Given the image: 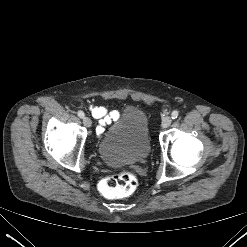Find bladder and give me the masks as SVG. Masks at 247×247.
<instances>
[{
	"instance_id": "1",
	"label": "bladder",
	"mask_w": 247,
	"mask_h": 247,
	"mask_svg": "<svg viewBox=\"0 0 247 247\" xmlns=\"http://www.w3.org/2000/svg\"><path fill=\"white\" fill-rule=\"evenodd\" d=\"M151 151L149 122L139 108L129 106L98 144L101 160L109 166L142 162Z\"/></svg>"
}]
</instances>
